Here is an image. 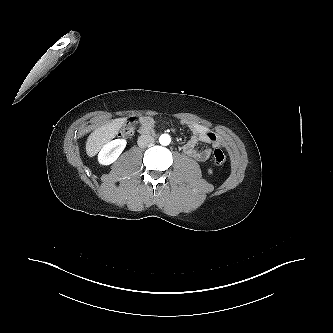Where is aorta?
Wrapping results in <instances>:
<instances>
[{
	"label": "aorta",
	"mask_w": 333,
	"mask_h": 333,
	"mask_svg": "<svg viewBox=\"0 0 333 333\" xmlns=\"http://www.w3.org/2000/svg\"><path fill=\"white\" fill-rule=\"evenodd\" d=\"M159 142L161 145L163 146H167L170 144L171 142V137L169 134H162L160 137H159Z\"/></svg>",
	"instance_id": "obj_1"
}]
</instances>
